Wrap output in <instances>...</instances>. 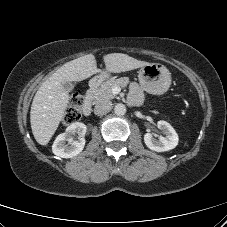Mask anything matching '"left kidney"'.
<instances>
[{"mask_svg":"<svg viewBox=\"0 0 227 227\" xmlns=\"http://www.w3.org/2000/svg\"><path fill=\"white\" fill-rule=\"evenodd\" d=\"M157 127L164 133L165 136H160L155 139L151 133L144 135L146 146L156 152H164L174 149L178 145V134L174 128L166 121L160 120L157 122Z\"/></svg>","mask_w":227,"mask_h":227,"instance_id":"5707ae66","label":"left kidney"}]
</instances>
